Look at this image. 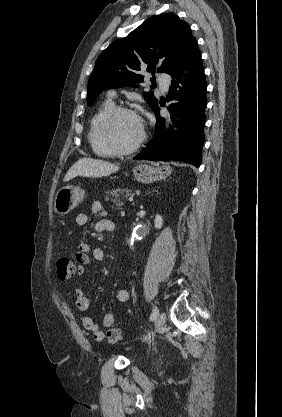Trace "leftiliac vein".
Returning a JSON list of instances; mask_svg holds the SVG:
<instances>
[{"label": "left iliac vein", "instance_id": "left-iliac-vein-1", "mask_svg": "<svg viewBox=\"0 0 282 417\" xmlns=\"http://www.w3.org/2000/svg\"><path fill=\"white\" fill-rule=\"evenodd\" d=\"M165 321H166V314L164 312L158 314L155 320V329H158L161 326H163Z\"/></svg>", "mask_w": 282, "mask_h": 417}]
</instances>
